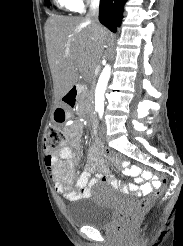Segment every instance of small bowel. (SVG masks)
<instances>
[{"label":"small bowel","mask_w":183,"mask_h":246,"mask_svg":"<svg viewBox=\"0 0 183 246\" xmlns=\"http://www.w3.org/2000/svg\"><path fill=\"white\" fill-rule=\"evenodd\" d=\"M94 134L97 132L96 126H93ZM67 142L70 144L61 148L57 155L47 154L45 157V165L48 169L50 178L55 184L56 190L64 194L65 198L70 201L86 198L90 194V188L97 182H107L114 188L119 189L125 194L135 193L140 191L142 194H148L153 187L159 182V174H151V170H143L142 167H132L128 162L123 163V172L130 175L133 183L124 185L120 180L113 178L98 160L97 151H90V163L84 171H82L74 181V191H67L64 185L65 181H72L75 176V169L72 159L76 155L77 149L80 148L81 138L76 130H67ZM101 143V142H100ZM92 172H96L95 177H92ZM148 179L149 183H145ZM154 182L153 184H151Z\"/></svg>","instance_id":"small-bowel-1"}]
</instances>
